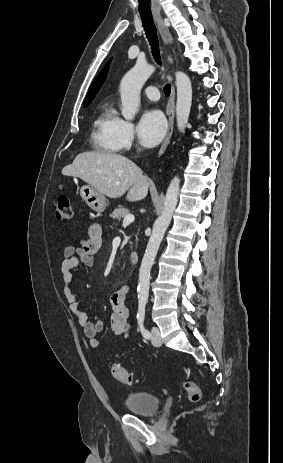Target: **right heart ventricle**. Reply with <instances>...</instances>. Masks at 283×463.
Masks as SVG:
<instances>
[{"label":"right heart ventricle","instance_id":"1","mask_svg":"<svg viewBox=\"0 0 283 463\" xmlns=\"http://www.w3.org/2000/svg\"><path fill=\"white\" fill-rule=\"evenodd\" d=\"M119 117L112 107H106L98 114L92 130L95 149L104 153H116L121 149L118 137Z\"/></svg>","mask_w":283,"mask_h":463}]
</instances>
